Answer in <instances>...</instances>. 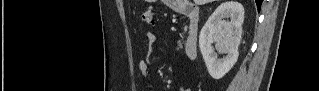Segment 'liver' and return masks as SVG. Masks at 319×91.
<instances>
[{
    "instance_id": "1",
    "label": "liver",
    "mask_w": 319,
    "mask_h": 91,
    "mask_svg": "<svg viewBox=\"0 0 319 91\" xmlns=\"http://www.w3.org/2000/svg\"><path fill=\"white\" fill-rule=\"evenodd\" d=\"M211 1L212 0H194L195 4H197V5H203V4L209 3Z\"/></svg>"
}]
</instances>
